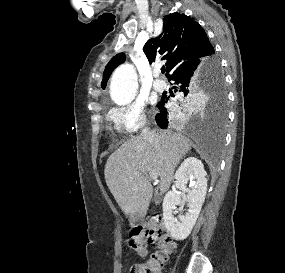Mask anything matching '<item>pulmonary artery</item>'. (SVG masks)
Wrapping results in <instances>:
<instances>
[{
    "label": "pulmonary artery",
    "instance_id": "e3ab8cb5",
    "mask_svg": "<svg viewBox=\"0 0 285 273\" xmlns=\"http://www.w3.org/2000/svg\"><path fill=\"white\" fill-rule=\"evenodd\" d=\"M153 76L155 78L152 85L153 88L158 92L164 91L167 88V83L160 78V70L158 68L154 70Z\"/></svg>",
    "mask_w": 285,
    "mask_h": 273
}]
</instances>
